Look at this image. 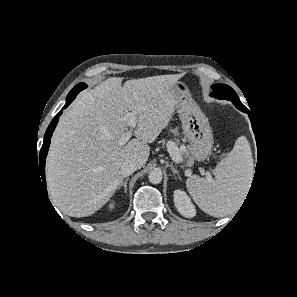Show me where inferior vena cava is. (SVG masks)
I'll return each mask as SVG.
<instances>
[{"label": "inferior vena cava", "instance_id": "1", "mask_svg": "<svg viewBox=\"0 0 297 297\" xmlns=\"http://www.w3.org/2000/svg\"><path fill=\"white\" fill-rule=\"evenodd\" d=\"M138 169V165L136 162L129 160L126 161L122 166H121V175L123 177L129 176L134 173Z\"/></svg>", "mask_w": 297, "mask_h": 297}]
</instances>
